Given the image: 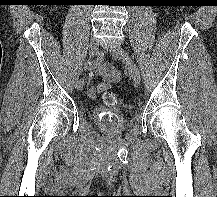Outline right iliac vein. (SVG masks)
<instances>
[{"label":"right iliac vein","instance_id":"right-iliac-vein-1","mask_svg":"<svg viewBox=\"0 0 217 197\" xmlns=\"http://www.w3.org/2000/svg\"><path fill=\"white\" fill-rule=\"evenodd\" d=\"M98 53V43L95 38H91L89 43V60H92ZM84 86V79L81 78L76 84L77 90H82Z\"/></svg>","mask_w":217,"mask_h":197}]
</instances>
